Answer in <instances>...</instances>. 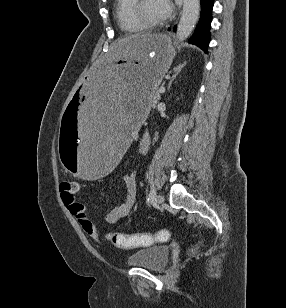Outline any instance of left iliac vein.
Listing matches in <instances>:
<instances>
[{"mask_svg": "<svg viewBox=\"0 0 286 308\" xmlns=\"http://www.w3.org/2000/svg\"><path fill=\"white\" fill-rule=\"evenodd\" d=\"M164 202V197L162 196V195H160V194H158V195H156L155 196V203L156 204H162Z\"/></svg>", "mask_w": 286, "mask_h": 308, "instance_id": "left-iliac-vein-1", "label": "left iliac vein"}]
</instances>
